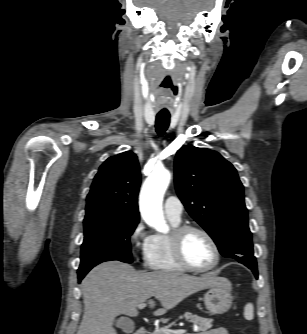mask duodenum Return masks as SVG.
I'll use <instances>...</instances> for the list:
<instances>
[{"label": "duodenum", "mask_w": 307, "mask_h": 334, "mask_svg": "<svg viewBox=\"0 0 307 334\" xmlns=\"http://www.w3.org/2000/svg\"><path fill=\"white\" fill-rule=\"evenodd\" d=\"M135 334H147V330L145 327L142 326L136 330Z\"/></svg>", "instance_id": "obj_1"}]
</instances>
